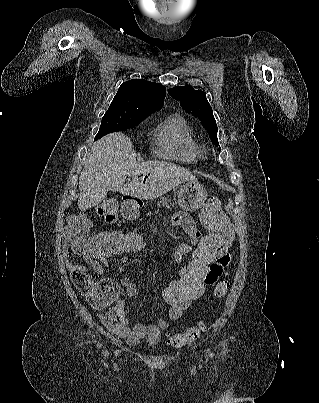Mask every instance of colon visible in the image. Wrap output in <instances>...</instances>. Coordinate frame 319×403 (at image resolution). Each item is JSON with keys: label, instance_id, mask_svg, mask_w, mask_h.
Segmentation results:
<instances>
[{"label": "colon", "instance_id": "5ec220e1", "mask_svg": "<svg viewBox=\"0 0 319 403\" xmlns=\"http://www.w3.org/2000/svg\"><path fill=\"white\" fill-rule=\"evenodd\" d=\"M119 202L118 195H113L111 201H103V209L99 213L103 221L106 223L114 221L120 207ZM200 220L208 231L204 232V238H200V242H196L195 258H189L185 275H180L178 282H161V291H165V295L159 307L160 313H186V309H193V300L207 296L204 274L210 271L219 253L228 251L232 243H235L233 220L225 217L218 198L209 199L201 210ZM88 229V220L83 215L76 214L70 217L65 227L67 239L63 240V247L73 248L81 257L101 254L102 258H123L124 254H146L148 251L145 245L147 235L137 234L136 226L97 229L96 234L91 236H88ZM229 261L230 257L227 264ZM71 279L75 287L87 296L93 278L84 272L74 271ZM228 289V281L219 282L214 289V297L223 298ZM193 326L184 332L170 334L169 345L181 347L198 339L204 331V324L196 322Z\"/></svg>", "mask_w": 319, "mask_h": 403}]
</instances>
